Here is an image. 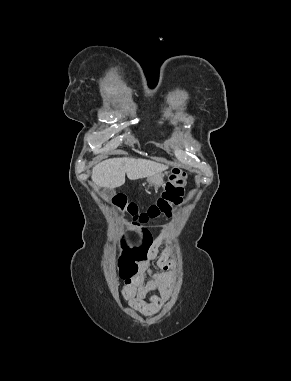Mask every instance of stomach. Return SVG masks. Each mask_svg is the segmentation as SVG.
<instances>
[{
  "mask_svg": "<svg viewBox=\"0 0 291 381\" xmlns=\"http://www.w3.org/2000/svg\"><path fill=\"white\" fill-rule=\"evenodd\" d=\"M163 177V174H157L152 177H149L148 182L150 185H153L154 187H160L164 183Z\"/></svg>",
  "mask_w": 291,
  "mask_h": 381,
  "instance_id": "stomach-1",
  "label": "stomach"
}]
</instances>
